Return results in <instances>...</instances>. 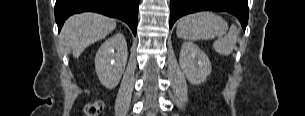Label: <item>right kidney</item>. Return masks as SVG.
<instances>
[{"label":"right kidney","mask_w":305,"mask_h":116,"mask_svg":"<svg viewBox=\"0 0 305 116\" xmlns=\"http://www.w3.org/2000/svg\"><path fill=\"white\" fill-rule=\"evenodd\" d=\"M127 57V44L122 33L113 35L100 46L95 56V70L106 88L113 89L118 85Z\"/></svg>","instance_id":"1"}]
</instances>
